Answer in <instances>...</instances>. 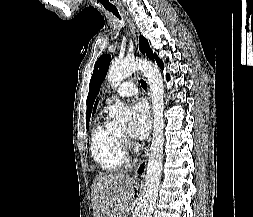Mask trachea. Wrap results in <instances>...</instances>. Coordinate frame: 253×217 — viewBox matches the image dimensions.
<instances>
[{
	"label": "trachea",
	"instance_id": "1",
	"mask_svg": "<svg viewBox=\"0 0 253 217\" xmlns=\"http://www.w3.org/2000/svg\"><path fill=\"white\" fill-rule=\"evenodd\" d=\"M108 11L112 12L117 18L121 19L120 17V14L118 12V10L115 8V9H112V8H106ZM140 83H141V86L142 88L146 89L147 88V84L144 80H140Z\"/></svg>",
	"mask_w": 253,
	"mask_h": 217
}]
</instances>
